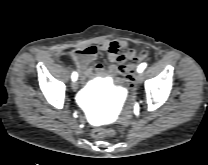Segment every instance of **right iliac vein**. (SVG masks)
Instances as JSON below:
<instances>
[{
    "mask_svg": "<svg viewBox=\"0 0 208 165\" xmlns=\"http://www.w3.org/2000/svg\"><path fill=\"white\" fill-rule=\"evenodd\" d=\"M71 87H72V89L74 90V91H76L77 90V88H78V83L77 82H72V84H71Z\"/></svg>",
    "mask_w": 208,
    "mask_h": 165,
    "instance_id": "right-iliac-vein-1",
    "label": "right iliac vein"
}]
</instances>
